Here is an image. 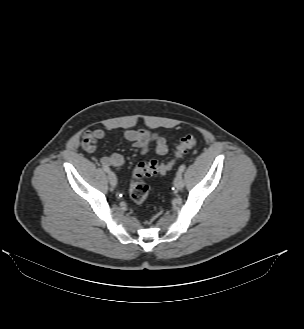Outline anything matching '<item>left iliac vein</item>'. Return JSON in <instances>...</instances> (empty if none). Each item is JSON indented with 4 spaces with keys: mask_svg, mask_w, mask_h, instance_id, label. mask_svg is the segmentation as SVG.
<instances>
[{
    "mask_svg": "<svg viewBox=\"0 0 304 329\" xmlns=\"http://www.w3.org/2000/svg\"><path fill=\"white\" fill-rule=\"evenodd\" d=\"M174 186L177 190H181L184 187V179L181 172H177L174 179Z\"/></svg>",
    "mask_w": 304,
    "mask_h": 329,
    "instance_id": "4c4485c4",
    "label": "left iliac vein"
}]
</instances>
